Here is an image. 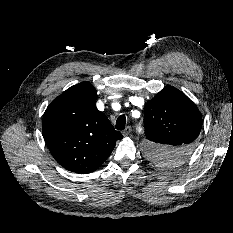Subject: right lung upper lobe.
Masks as SVG:
<instances>
[{
  "label": "right lung upper lobe",
  "instance_id": "right-lung-upper-lobe-1",
  "mask_svg": "<svg viewBox=\"0 0 233 233\" xmlns=\"http://www.w3.org/2000/svg\"><path fill=\"white\" fill-rule=\"evenodd\" d=\"M89 82L74 85L47 107L42 133L55 160L75 173L95 171L109 157L122 134L95 105Z\"/></svg>",
  "mask_w": 233,
  "mask_h": 233
}]
</instances>
